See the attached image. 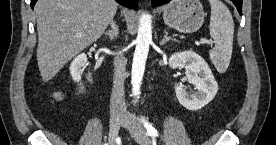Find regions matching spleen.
I'll list each match as a JSON object with an SVG mask.
<instances>
[{
	"instance_id": "spleen-1",
	"label": "spleen",
	"mask_w": 276,
	"mask_h": 145,
	"mask_svg": "<svg viewBox=\"0 0 276 145\" xmlns=\"http://www.w3.org/2000/svg\"><path fill=\"white\" fill-rule=\"evenodd\" d=\"M210 35L215 42L209 56L219 73L226 72L232 55L234 21L229 9L220 0H210Z\"/></svg>"
}]
</instances>
